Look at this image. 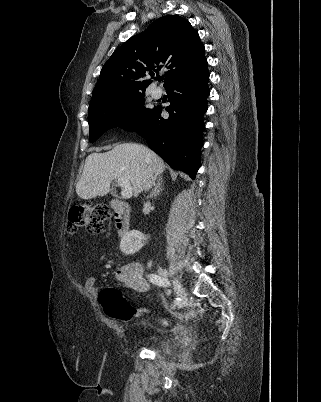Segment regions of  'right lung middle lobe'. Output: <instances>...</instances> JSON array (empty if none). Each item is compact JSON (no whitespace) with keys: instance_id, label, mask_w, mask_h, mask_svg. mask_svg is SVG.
Instances as JSON below:
<instances>
[{"instance_id":"obj_1","label":"right lung middle lobe","mask_w":321,"mask_h":402,"mask_svg":"<svg viewBox=\"0 0 321 402\" xmlns=\"http://www.w3.org/2000/svg\"><path fill=\"white\" fill-rule=\"evenodd\" d=\"M145 93H135L89 107L88 122L90 142H95L105 131L126 128L138 123L153 109L145 107Z\"/></svg>"}]
</instances>
